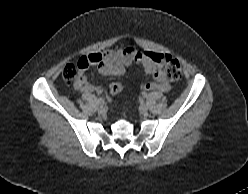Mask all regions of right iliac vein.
I'll return each instance as SVG.
<instances>
[{
  "mask_svg": "<svg viewBox=\"0 0 248 194\" xmlns=\"http://www.w3.org/2000/svg\"><path fill=\"white\" fill-rule=\"evenodd\" d=\"M97 103H98V106L100 107V110H102L103 107H104V105H105L104 100L103 99L102 100H98Z\"/></svg>",
  "mask_w": 248,
  "mask_h": 194,
  "instance_id": "obj_1",
  "label": "right iliac vein"
}]
</instances>
